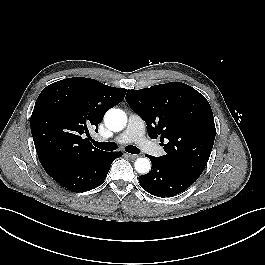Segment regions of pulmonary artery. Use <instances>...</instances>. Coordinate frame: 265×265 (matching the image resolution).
<instances>
[{
  "mask_svg": "<svg viewBox=\"0 0 265 265\" xmlns=\"http://www.w3.org/2000/svg\"><path fill=\"white\" fill-rule=\"evenodd\" d=\"M116 142L126 144L129 142H136L141 147L147 148L148 151L155 156H162L163 149L145 137V125L141 118L136 114H131L128 120L126 130L116 138Z\"/></svg>",
  "mask_w": 265,
  "mask_h": 265,
  "instance_id": "e3ab8cb5",
  "label": "pulmonary artery"
}]
</instances>
